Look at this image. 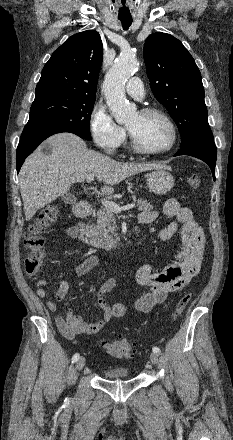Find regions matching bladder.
I'll return each instance as SVG.
<instances>
[{
	"label": "bladder",
	"mask_w": 233,
	"mask_h": 440,
	"mask_svg": "<svg viewBox=\"0 0 233 440\" xmlns=\"http://www.w3.org/2000/svg\"><path fill=\"white\" fill-rule=\"evenodd\" d=\"M104 375L109 379H127L129 377L126 368H108L104 371Z\"/></svg>",
	"instance_id": "31cf9c89"
}]
</instances>
